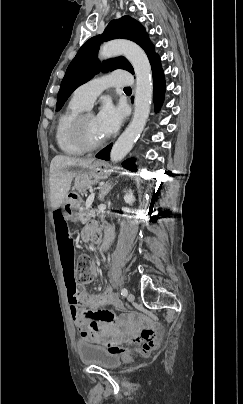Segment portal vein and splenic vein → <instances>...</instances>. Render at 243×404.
Instances as JSON below:
<instances>
[{
	"label": "portal vein and splenic vein",
	"instance_id": "1",
	"mask_svg": "<svg viewBox=\"0 0 243 404\" xmlns=\"http://www.w3.org/2000/svg\"><path fill=\"white\" fill-rule=\"evenodd\" d=\"M94 196H95L94 192H91L90 196H88V198L86 200V208H87V210H88V208H91V204H92V202L94 200Z\"/></svg>",
	"mask_w": 243,
	"mask_h": 404
}]
</instances>
